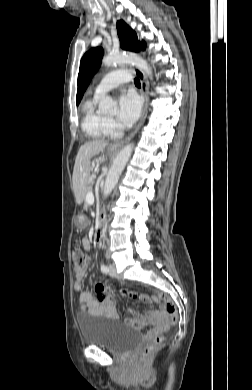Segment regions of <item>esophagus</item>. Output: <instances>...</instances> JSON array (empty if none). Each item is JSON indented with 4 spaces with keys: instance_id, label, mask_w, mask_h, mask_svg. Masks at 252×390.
<instances>
[{
    "instance_id": "1",
    "label": "esophagus",
    "mask_w": 252,
    "mask_h": 390,
    "mask_svg": "<svg viewBox=\"0 0 252 390\" xmlns=\"http://www.w3.org/2000/svg\"><path fill=\"white\" fill-rule=\"evenodd\" d=\"M135 73L138 76V78L140 79V82H141V93H142V95L144 96V99H145L142 115H141L139 123L137 124V126L135 127L133 132L126 139H124L122 141H119V142H116L112 146V148L122 147L124 144H126L128 141H130L135 136V134L140 129V127L143 125V123H144V121L146 119V116H147L148 103H149L148 81H147V79L145 77V74L140 69L136 68L135 69Z\"/></svg>"
}]
</instances>
